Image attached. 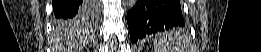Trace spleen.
Listing matches in <instances>:
<instances>
[{
	"mask_svg": "<svg viewBox=\"0 0 261 52\" xmlns=\"http://www.w3.org/2000/svg\"><path fill=\"white\" fill-rule=\"evenodd\" d=\"M181 33L176 30L157 34L154 38L156 52H179Z\"/></svg>",
	"mask_w": 261,
	"mask_h": 52,
	"instance_id": "obj_1",
	"label": "spleen"
}]
</instances>
